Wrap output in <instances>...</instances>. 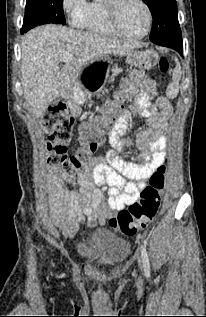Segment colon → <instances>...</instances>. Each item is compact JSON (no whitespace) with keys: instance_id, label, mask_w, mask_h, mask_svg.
<instances>
[{"instance_id":"5ec220e1","label":"colon","mask_w":206,"mask_h":317,"mask_svg":"<svg viewBox=\"0 0 206 317\" xmlns=\"http://www.w3.org/2000/svg\"><path fill=\"white\" fill-rule=\"evenodd\" d=\"M140 64L144 68L156 66L162 73L168 70L166 57L158 53L144 56ZM144 80L145 75L142 71H130L129 77L122 80L113 98L105 103L101 114L92 117L81 126L80 149L73 156L68 155L67 146L72 138L74 120L68 115L64 105L51 107L43 122L48 133L49 165L65 178L85 172L93 163L92 156L103 146L109 126L122 114L124 101L136 93L138 85ZM165 172V166L158 168L140 192L139 200L111 218L110 226L119 229L125 235H134L138 230L146 228L160 207Z\"/></svg>"}]
</instances>
